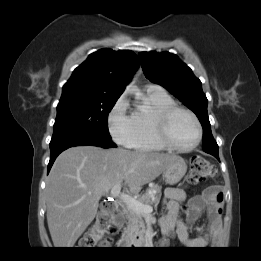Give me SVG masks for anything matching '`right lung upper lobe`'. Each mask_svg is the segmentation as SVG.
<instances>
[{
	"mask_svg": "<svg viewBox=\"0 0 261 261\" xmlns=\"http://www.w3.org/2000/svg\"><path fill=\"white\" fill-rule=\"evenodd\" d=\"M138 66L130 50L101 49L89 55L63 86V96H120Z\"/></svg>",
	"mask_w": 261,
	"mask_h": 261,
	"instance_id": "1",
	"label": "right lung upper lobe"
}]
</instances>
